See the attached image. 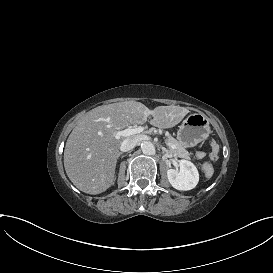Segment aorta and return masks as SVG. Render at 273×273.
<instances>
[{
  "label": "aorta",
  "instance_id": "1",
  "mask_svg": "<svg viewBox=\"0 0 273 273\" xmlns=\"http://www.w3.org/2000/svg\"><path fill=\"white\" fill-rule=\"evenodd\" d=\"M141 150L146 155H152L155 153V146L150 141H144L141 143Z\"/></svg>",
  "mask_w": 273,
  "mask_h": 273
}]
</instances>
